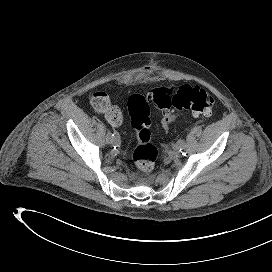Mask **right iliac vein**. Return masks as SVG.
Returning a JSON list of instances; mask_svg holds the SVG:
<instances>
[{
  "instance_id": "1",
  "label": "right iliac vein",
  "mask_w": 272,
  "mask_h": 272,
  "mask_svg": "<svg viewBox=\"0 0 272 272\" xmlns=\"http://www.w3.org/2000/svg\"><path fill=\"white\" fill-rule=\"evenodd\" d=\"M106 141L109 144H118L120 141V138L119 136H117L116 138H111L110 136L107 135Z\"/></svg>"
}]
</instances>
